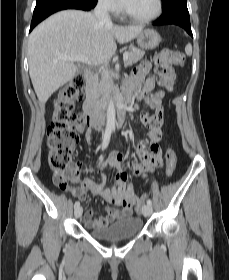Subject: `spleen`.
I'll return each instance as SVG.
<instances>
[{
  "label": "spleen",
  "mask_w": 229,
  "mask_h": 280,
  "mask_svg": "<svg viewBox=\"0 0 229 280\" xmlns=\"http://www.w3.org/2000/svg\"><path fill=\"white\" fill-rule=\"evenodd\" d=\"M185 52L190 55L192 53V47L190 44H188L186 47H185Z\"/></svg>",
  "instance_id": "obj_1"
}]
</instances>
